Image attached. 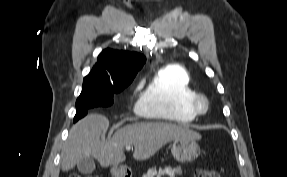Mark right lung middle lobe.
Masks as SVG:
<instances>
[{
    "label": "right lung middle lobe",
    "instance_id": "1",
    "mask_svg": "<svg viewBox=\"0 0 287 177\" xmlns=\"http://www.w3.org/2000/svg\"><path fill=\"white\" fill-rule=\"evenodd\" d=\"M132 81L122 82L112 86H104L85 77L82 92L76 101L77 114L74 118V122L82 118V115L78 113L80 110L99 106H111L113 104V94L121 92Z\"/></svg>",
    "mask_w": 287,
    "mask_h": 177
}]
</instances>
